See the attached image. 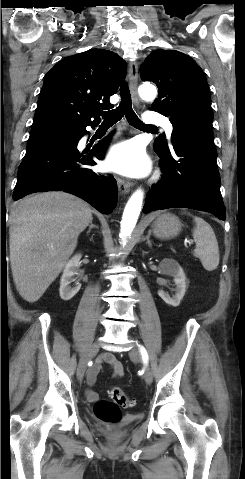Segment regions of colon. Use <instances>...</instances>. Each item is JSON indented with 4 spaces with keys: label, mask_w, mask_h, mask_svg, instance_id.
Here are the masks:
<instances>
[{
    "label": "colon",
    "mask_w": 245,
    "mask_h": 479,
    "mask_svg": "<svg viewBox=\"0 0 245 479\" xmlns=\"http://www.w3.org/2000/svg\"><path fill=\"white\" fill-rule=\"evenodd\" d=\"M111 400L101 399L94 405V414L98 420L106 424H115L121 420V407L127 408L135 405L136 401L131 399L122 389L112 388L110 390Z\"/></svg>",
    "instance_id": "obj_1"
}]
</instances>
